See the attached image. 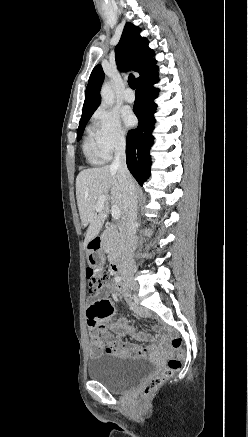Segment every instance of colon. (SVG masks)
I'll return each mask as SVG.
<instances>
[{
    "label": "colon",
    "mask_w": 248,
    "mask_h": 437,
    "mask_svg": "<svg viewBox=\"0 0 248 437\" xmlns=\"http://www.w3.org/2000/svg\"><path fill=\"white\" fill-rule=\"evenodd\" d=\"M86 277L89 292L91 294H98L102 287L107 283L109 272L104 268H102L100 272H95L93 267H89L87 269ZM170 352V357L162 371L143 385L141 394L144 397L152 394L180 369L181 358L183 356L181 338L174 337L171 339Z\"/></svg>",
    "instance_id": "colon-1"
}]
</instances>
